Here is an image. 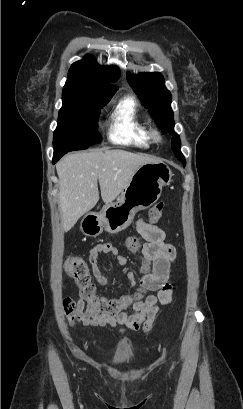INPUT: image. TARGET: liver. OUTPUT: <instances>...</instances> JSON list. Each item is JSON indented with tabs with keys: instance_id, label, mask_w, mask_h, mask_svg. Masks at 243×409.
<instances>
[{
	"instance_id": "liver-1",
	"label": "liver",
	"mask_w": 243,
	"mask_h": 409,
	"mask_svg": "<svg viewBox=\"0 0 243 409\" xmlns=\"http://www.w3.org/2000/svg\"><path fill=\"white\" fill-rule=\"evenodd\" d=\"M151 157L114 149L66 155L56 164L59 208L63 230H70L99 200L111 204L127 186L138 167L156 162Z\"/></svg>"
}]
</instances>
